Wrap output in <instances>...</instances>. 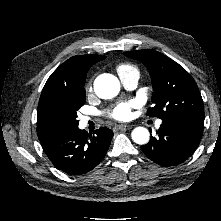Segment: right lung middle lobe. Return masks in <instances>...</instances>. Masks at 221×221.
Masks as SVG:
<instances>
[{"label": "right lung middle lobe", "mask_w": 221, "mask_h": 221, "mask_svg": "<svg viewBox=\"0 0 221 221\" xmlns=\"http://www.w3.org/2000/svg\"><path fill=\"white\" fill-rule=\"evenodd\" d=\"M85 104V90H57L40 98L37 121L43 131L58 135L78 128L77 111Z\"/></svg>", "instance_id": "right-lung-middle-lobe-1"}]
</instances>
